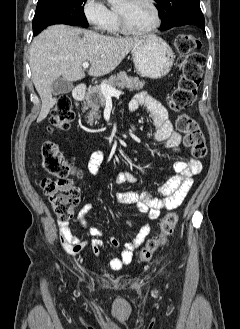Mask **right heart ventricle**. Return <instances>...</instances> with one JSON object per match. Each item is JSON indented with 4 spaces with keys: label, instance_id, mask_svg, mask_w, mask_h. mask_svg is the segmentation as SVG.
<instances>
[{
    "label": "right heart ventricle",
    "instance_id": "obj_1",
    "mask_svg": "<svg viewBox=\"0 0 240 329\" xmlns=\"http://www.w3.org/2000/svg\"><path fill=\"white\" fill-rule=\"evenodd\" d=\"M107 31L113 34L118 33L120 31L117 12L115 9L111 10V21L107 27Z\"/></svg>",
    "mask_w": 240,
    "mask_h": 329
}]
</instances>
